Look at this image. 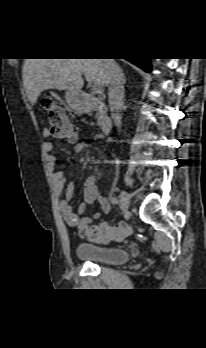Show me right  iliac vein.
Segmentation results:
<instances>
[{"instance_id":"right-iliac-vein-1","label":"right iliac vein","mask_w":206,"mask_h":348,"mask_svg":"<svg viewBox=\"0 0 206 348\" xmlns=\"http://www.w3.org/2000/svg\"><path fill=\"white\" fill-rule=\"evenodd\" d=\"M130 204V195L126 191H122L120 194V208L122 211H126Z\"/></svg>"}]
</instances>
